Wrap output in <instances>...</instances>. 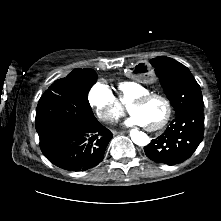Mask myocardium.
Returning a JSON list of instances; mask_svg holds the SVG:
<instances>
[{
	"instance_id": "1",
	"label": "myocardium",
	"mask_w": 221,
	"mask_h": 221,
	"mask_svg": "<svg viewBox=\"0 0 221 221\" xmlns=\"http://www.w3.org/2000/svg\"><path fill=\"white\" fill-rule=\"evenodd\" d=\"M153 98H159V99L163 100L164 103L166 104L167 110H166V114L161 122H159L155 126H147L146 127L147 130H149V131H157V130L164 128L167 125V123L169 122V120L171 119L172 113H173V106H172V103L169 100V98L163 94H160V93L150 92V93H147V94H144V95H141V96L135 98L129 104V110L131 111L132 107L137 106V105H143Z\"/></svg>"
}]
</instances>
